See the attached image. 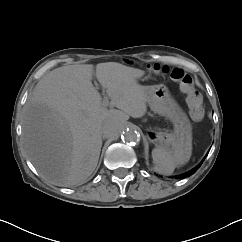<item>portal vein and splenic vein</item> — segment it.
Wrapping results in <instances>:
<instances>
[{"label":"portal vein and splenic vein","instance_id":"18ae733b","mask_svg":"<svg viewBox=\"0 0 242 242\" xmlns=\"http://www.w3.org/2000/svg\"><path fill=\"white\" fill-rule=\"evenodd\" d=\"M103 106L107 107L109 105H112L111 102H109V98L107 96H104V99H103ZM113 106V105H112Z\"/></svg>","mask_w":242,"mask_h":242}]
</instances>
